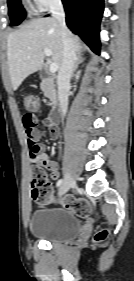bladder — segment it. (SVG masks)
<instances>
[{"label":"bladder","mask_w":134,"mask_h":281,"mask_svg":"<svg viewBox=\"0 0 134 281\" xmlns=\"http://www.w3.org/2000/svg\"><path fill=\"white\" fill-rule=\"evenodd\" d=\"M82 230V220L68 208L38 209L33 212L30 219L32 235L49 242L73 240Z\"/></svg>","instance_id":"1"}]
</instances>
